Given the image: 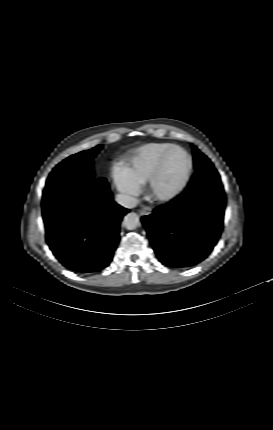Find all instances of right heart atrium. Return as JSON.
I'll return each mask as SVG.
<instances>
[{
	"mask_svg": "<svg viewBox=\"0 0 273 430\" xmlns=\"http://www.w3.org/2000/svg\"><path fill=\"white\" fill-rule=\"evenodd\" d=\"M112 177L117 189L125 195H136L139 191V186L135 184L127 175L125 169L121 166L113 168Z\"/></svg>",
	"mask_w": 273,
	"mask_h": 430,
	"instance_id": "1",
	"label": "right heart atrium"
}]
</instances>
